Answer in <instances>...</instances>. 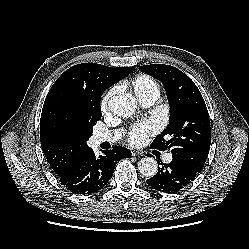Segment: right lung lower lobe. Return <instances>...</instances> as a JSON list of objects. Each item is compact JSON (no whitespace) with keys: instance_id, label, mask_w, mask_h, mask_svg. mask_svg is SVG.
Returning <instances> with one entry per match:
<instances>
[{"instance_id":"1","label":"right lung lower lobe","mask_w":249,"mask_h":249,"mask_svg":"<svg viewBox=\"0 0 249 249\" xmlns=\"http://www.w3.org/2000/svg\"><path fill=\"white\" fill-rule=\"evenodd\" d=\"M103 153L96 157L88 147L71 167L59 175L61 184L75 194L89 195L101 190L111 179L117 162L131 156V151L121 146H113Z\"/></svg>"}]
</instances>
